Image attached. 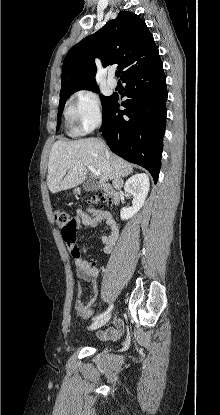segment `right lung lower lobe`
<instances>
[{"label":"right lung lower lobe","instance_id":"right-lung-lower-lobe-1","mask_svg":"<svg viewBox=\"0 0 220 415\" xmlns=\"http://www.w3.org/2000/svg\"><path fill=\"white\" fill-rule=\"evenodd\" d=\"M125 95H112L101 131L110 149L129 162L146 168L156 183L161 167L166 122V77L162 61L125 76Z\"/></svg>","mask_w":220,"mask_h":415}]
</instances>
